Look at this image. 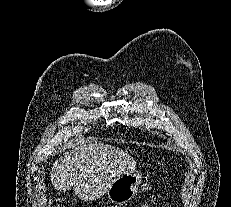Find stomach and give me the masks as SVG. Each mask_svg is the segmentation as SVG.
Wrapping results in <instances>:
<instances>
[{
    "label": "stomach",
    "instance_id": "obj_1",
    "mask_svg": "<svg viewBox=\"0 0 231 207\" xmlns=\"http://www.w3.org/2000/svg\"><path fill=\"white\" fill-rule=\"evenodd\" d=\"M141 182L140 173L133 170L124 172L114 180L107 190L108 200L115 204L129 202L137 194Z\"/></svg>",
    "mask_w": 231,
    "mask_h": 207
}]
</instances>
